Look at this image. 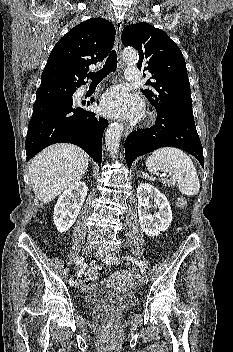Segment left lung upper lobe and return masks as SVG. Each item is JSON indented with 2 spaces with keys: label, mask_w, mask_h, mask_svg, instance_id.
<instances>
[{
  "label": "left lung upper lobe",
  "mask_w": 233,
  "mask_h": 352,
  "mask_svg": "<svg viewBox=\"0 0 233 352\" xmlns=\"http://www.w3.org/2000/svg\"><path fill=\"white\" fill-rule=\"evenodd\" d=\"M122 43L139 52L137 67L152 75L150 89L141 90L156 110L194 119L190 83L179 47L161 29L146 22L128 25Z\"/></svg>",
  "instance_id": "5c2ea615"
}]
</instances>
